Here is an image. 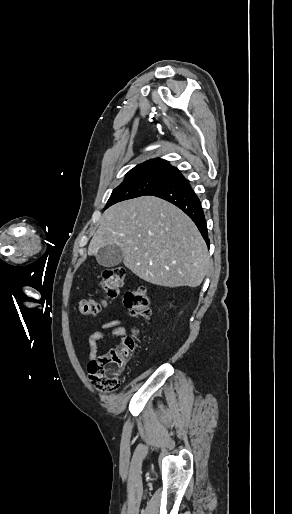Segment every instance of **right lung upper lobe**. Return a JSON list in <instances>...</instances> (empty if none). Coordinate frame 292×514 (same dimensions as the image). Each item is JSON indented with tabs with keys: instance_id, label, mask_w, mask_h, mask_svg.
Listing matches in <instances>:
<instances>
[{
	"instance_id": "right-lung-upper-lobe-1",
	"label": "right lung upper lobe",
	"mask_w": 292,
	"mask_h": 514,
	"mask_svg": "<svg viewBox=\"0 0 292 514\" xmlns=\"http://www.w3.org/2000/svg\"><path fill=\"white\" fill-rule=\"evenodd\" d=\"M147 172H165L172 175L179 172V170L176 167L170 165L169 162H167L166 160L155 158L137 165L136 167L131 169L127 174Z\"/></svg>"
}]
</instances>
